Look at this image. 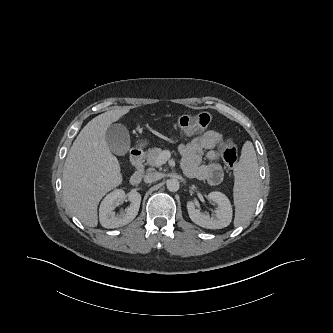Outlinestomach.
I'll return each instance as SVG.
<instances>
[{
	"mask_svg": "<svg viewBox=\"0 0 333 333\" xmlns=\"http://www.w3.org/2000/svg\"><path fill=\"white\" fill-rule=\"evenodd\" d=\"M148 144H149V142L147 140H141V141H139L138 146L139 147H145Z\"/></svg>",
	"mask_w": 333,
	"mask_h": 333,
	"instance_id": "stomach-1",
	"label": "stomach"
}]
</instances>
